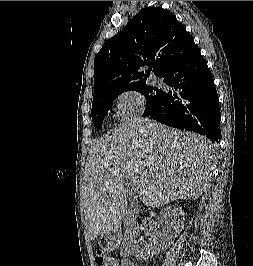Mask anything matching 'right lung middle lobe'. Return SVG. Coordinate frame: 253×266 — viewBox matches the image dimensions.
<instances>
[{
  "mask_svg": "<svg viewBox=\"0 0 253 266\" xmlns=\"http://www.w3.org/2000/svg\"><path fill=\"white\" fill-rule=\"evenodd\" d=\"M129 90H135L137 92L142 93L146 98V108L144 114H147L160 100L162 90L155 87H149L146 83L138 85ZM125 90V91H129ZM125 91H118L110 93L99 100L92 103V121L96 128L102 129V122L109 111L112 102L117 98L118 95Z\"/></svg>",
  "mask_w": 253,
  "mask_h": 266,
  "instance_id": "dd1d6c3e",
  "label": "right lung middle lobe"
}]
</instances>
